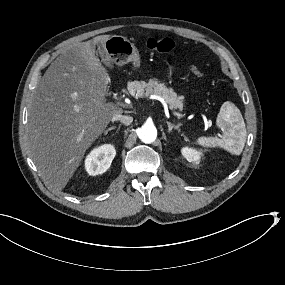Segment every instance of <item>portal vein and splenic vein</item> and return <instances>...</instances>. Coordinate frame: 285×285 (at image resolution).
Instances as JSON below:
<instances>
[{
    "instance_id": "1",
    "label": "portal vein and splenic vein",
    "mask_w": 285,
    "mask_h": 285,
    "mask_svg": "<svg viewBox=\"0 0 285 285\" xmlns=\"http://www.w3.org/2000/svg\"><path fill=\"white\" fill-rule=\"evenodd\" d=\"M150 97H152L151 99H157V100H162V96L158 93V94H154V95H151Z\"/></svg>"
}]
</instances>
